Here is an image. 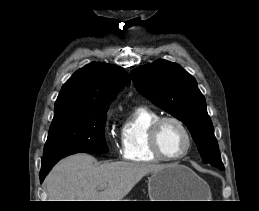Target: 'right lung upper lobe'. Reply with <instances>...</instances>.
I'll return each mask as SVG.
<instances>
[{
  "label": "right lung upper lobe",
  "mask_w": 259,
  "mask_h": 211,
  "mask_svg": "<svg viewBox=\"0 0 259 211\" xmlns=\"http://www.w3.org/2000/svg\"><path fill=\"white\" fill-rule=\"evenodd\" d=\"M129 81L124 69L92 62L77 70L62 86L55 103L54 116L76 108L108 109L117 92Z\"/></svg>",
  "instance_id": "cb5924a9"
}]
</instances>
